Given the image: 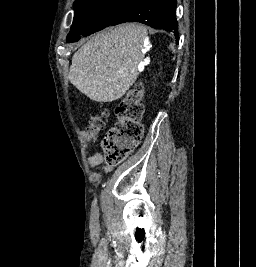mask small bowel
I'll use <instances>...</instances> for the list:
<instances>
[{
	"instance_id": "obj_1",
	"label": "small bowel",
	"mask_w": 256,
	"mask_h": 267,
	"mask_svg": "<svg viewBox=\"0 0 256 267\" xmlns=\"http://www.w3.org/2000/svg\"><path fill=\"white\" fill-rule=\"evenodd\" d=\"M93 140L97 141V136H93ZM98 165H102V167H98ZM90 166L95 176H98L99 174H108L112 170L111 165L105 162L104 156L100 151H97L95 155L91 158Z\"/></svg>"
}]
</instances>
